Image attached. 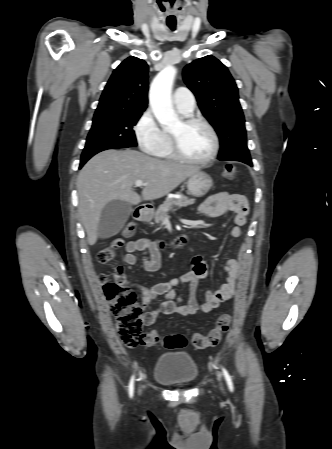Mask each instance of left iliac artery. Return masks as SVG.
<instances>
[{"label":"left iliac artery","mask_w":332,"mask_h":449,"mask_svg":"<svg viewBox=\"0 0 332 449\" xmlns=\"http://www.w3.org/2000/svg\"><path fill=\"white\" fill-rule=\"evenodd\" d=\"M222 371H223V375L225 377V380L227 382V385L229 387V390L231 392H233L234 386H233V382H232L231 376L229 375L228 371L225 368H223V367H222Z\"/></svg>","instance_id":"1"}]
</instances>
